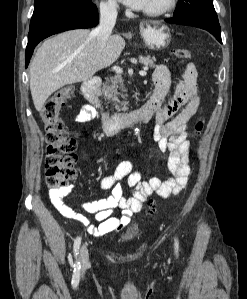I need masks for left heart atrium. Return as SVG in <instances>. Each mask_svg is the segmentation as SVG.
I'll return each mask as SVG.
<instances>
[{
  "instance_id": "left-heart-atrium-1",
  "label": "left heart atrium",
  "mask_w": 247,
  "mask_h": 299,
  "mask_svg": "<svg viewBox=\"0 0 247 299\" xmlns=\"http://www.w3.org/2000/svg\"><path fill=\"white\" fill-rule=\"evenodd\" d=\"M123 4L134 8V9H143L146 7L149 0H119Z\"/></svg>"
}]
</instances>
